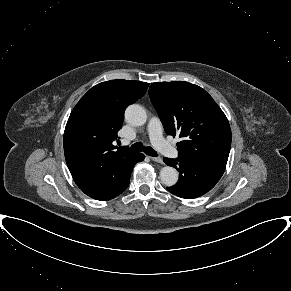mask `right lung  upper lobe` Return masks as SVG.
<instances>
[{
	"mask_svg": "<svg viewBox=\"0 0 291 291\" xmlns=\"http://www.w3.org/2000/svg\"><path fill=\"white\" fill-rule=\"evenodd\" d=\"M149 84L111 80L92 87L77 103L64 132V154L77 186L99 200L113 193L137 153L114 145L128 105L140 99Z\"/></svg>",
	"mask_w": 291,
	"mask_h": 291,
	"instance_id": "cb5924a9",
	"label": "right lung upper lobe"
}]
</instances>
